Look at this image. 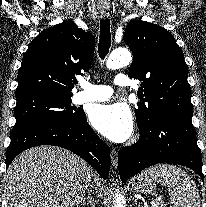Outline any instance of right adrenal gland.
<instances>
[{
	"instance_id": "obj_1",
	"label": "right adrenal gland",
	"mask_w": 206,
	"mask_h": 207,
	"mask_svg": "<svg viewBox=\"0 0 206 207\" xmlns=\"http://www.w3.org/2000/svg\"><path fill=\"white\" fill-rule=\"evenodd\" d=\"M86 202H87V204H90L92 207H94V200L92 197V191L88 192V196L86 198H83V200H82L83 206L85 205Z\"/></svg>"
}]
</instances>
